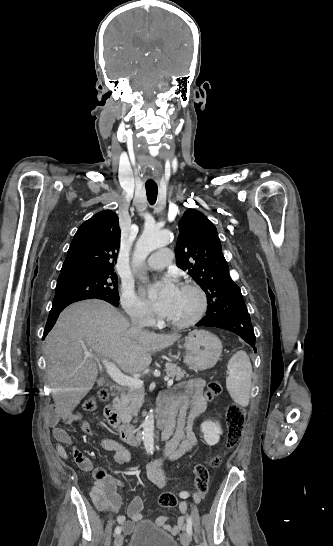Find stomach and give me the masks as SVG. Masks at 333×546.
<instances>
[{"label":"stomach","mask_w":333,"mask_h":546,"mask_svg":"<svg viewBox=\"0 0 333 546\" xmlns=\"http://www.w3.org/2000/svg\"><path fill=\"white\" fill-rule=\"evenodd\" d=\"M183 347L186 350L184 362L195 371L212 368L222 353L220 339L206 330L191 332L185 337Z\"/></svg>","instance_id":"0dacf381"}]
</instances>
